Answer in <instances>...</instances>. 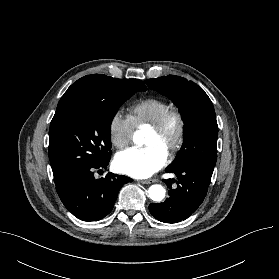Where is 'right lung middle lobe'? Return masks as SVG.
<instances>
[{
  "label": "right lung middle lobe",
  "mask_w": 279,
  "mask_h": 279,
  "mask_svg": "<svg viewBox=\"0 0 279 279\" xmlns=\"http://www.w3.org/2000/svg\"><path fill=\"white\" fill-rule=\"evenodd\" d=\"M143 91L136 79L90 75L89 86L60 99L49 131L54 180L110 160V126L123 102Z\"/></svg>",
  "instance_id": "1"
}]
</instances>
